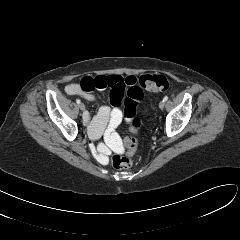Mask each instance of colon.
I'll return each instance as SVG.
<instances>
[{
    "mask_svg": "<svg viewBox=\"0 0 240 240\" xmlns=\"http://www.w3.org/2000/svg\"><path fill=\"white\" fill-rule=\"evenodd\" d=\"M168 79L161 74H149L139 77L137 84L127 90L124 100V115L129 121L132 132L136 134L141 126L140 120L136 117L137 103L143 97V90L150 92H162L169 88ZM126 155L115 154L111 157L112 165L117 169H127L133 164L132 156L138 149V140L135 136L129 137L125 141Z\"/></svg>",
    "mask_w": 240,
    "mask_h": 240,
    "instance_id": "colon-1",
    "label": "colon"
}]
</instances>
